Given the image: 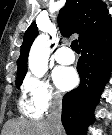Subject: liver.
Masks as SVG:
<instances>
[{
  "instance_id": "liver-1",
  "label": "liver",
  "mask_w": 112,
  "mask_h": 135,
  "mask_svg": "<svg viewBox=\"0 0 112 135\" xmlns=\"http://www.w3.org/2000/svg\"><path fill=\"white\" fill-rule=\"evenodd\" d=\"M2 135H53L48 121L10 120Z\"/></svg>"
}]
</instances>
